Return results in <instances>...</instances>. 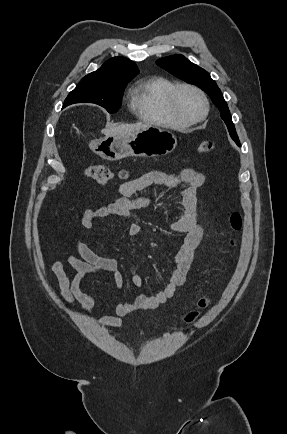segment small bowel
Wrapping results in <instances>:
<instances>
[{"label":"small bowel","instance_id":"small-bowel-1","mask_svg":"<svg viewBox=\"0 0 287 434\" xmlns=\"http://www.w3.org/2000/svg\"><path fill=\"white\" fill-rule=\"evenodd\" d=\"M204 182V174L193 168H185L177 173L153 169L121 184L118 188L120 197L114 202L97 209H87L83 213L79 224L85 228H92L98 220L111 216L130 218L133 211L146 209L154 204L151 196L140 194L143 189L151 185L178 189L182 197V202L177 207V218L169 224V230L174 234L183 235L184 238L174 257L173 267L164 288L152 294H140L132 300L114 304L113 315L99 319L101 326L121 327L123 325L121 317L139 311L155 310L173 297L176 289L183 283L203 239V230L197 223V191ZM141 229V224L134 221L126 227L125 233L128 237H134ZM72 246L80 256L66 255L67 262L76 270L73 278H68L64 265L60 261L53 264L52 270L60 287L61 296L67 305L73 307L75 302H78L83 311L90 314L98 295L95 292L86 293L81 290V283L85 278L109 274L119 289L124 287L125 281L115 259L96 254L75 238L72 240ZM130 272L132 284L136 287L142 286L143 278L133 266L130 267Z\"/></svg>","mask_w":287,"mask_h":434}]
</instances>
